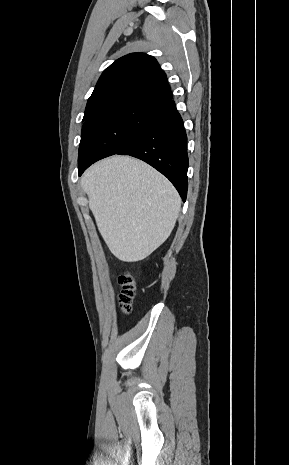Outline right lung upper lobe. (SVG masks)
I'll list each match as a JSON object with an SVG mask.
<instances>
[{
    "instance_id": "obj_1",
    "label": "right lung upper lobe",
    "mask_w": 289,
    "mask_h": 465,
    "mask_svg": "<svg viewBox=\"0 0 289 465\" xmlns=\"http://www.w3.org/2000/svg\"><path fill=\"white\" fill-rule=\"evenodd\" d=\"M172 99L165 72L156 59L131 53L112 63L88 99L84 118L114 104L139 101L164 105Z\"/></svg>"
}]
</instances>
